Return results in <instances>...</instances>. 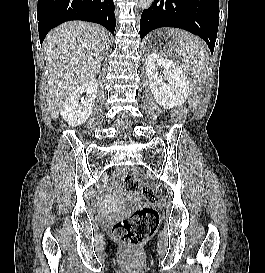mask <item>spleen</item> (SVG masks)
Returning <instances> with one entry per match:
<instances>
[{
  "label": "spleen",
  "instance_id": "obj_1",
  "mask_svg": "<svg viewBox=\"0 0 265 273\" xmlns=\"http://www.w3.org/2000/svg\"><path fill=\"white\" fill-rule=\"evenodd\" d=\"M167 33L177 45L179 53L189 60L186 70L191 72L195 83L203 84L207 78L209 54L206 44L199 38L180 29H168Z\"/></svg>",
  "mask_w": 265,
  "mask_h": 273
}]
</instances>
